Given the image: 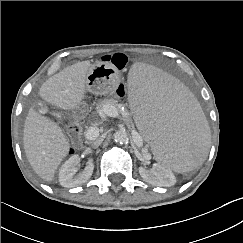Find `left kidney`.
Masks as SVG:
<instances>
[{"label": "left kidney", "instance_id": "5707ae66", "mask_svg": "<svg viewBox=\"0 0 243 243\" xmlns=\"http://www.w3.org/2000/svg\"><path fill=\"white\" fill-rule=\"evenodd\" d=\"M141 177L149 184L170 187L176 183L174 173L161 163H154L151 169L139 167Z\"/></svg>", "mask_w": 243, "mask_h": 243}]
</instances>
